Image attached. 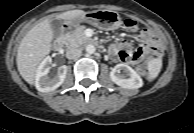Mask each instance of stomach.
Listing matches in <instances>:
<instances>
[{"label": "stomach", "mask_w": 194, "mask_h": 133, "mask_svg": "<svg viewBox=\"0 0 194 133\" xmlns=\"http://www.w3.org/2000/svg\"><path fill=\"white\" fill-rule=\"evenodd\" d=\"M83 22L89 23L99 29L115 30L120 27L121 18L115 11L95 10L86 12L78 18H74L68 21L72 27H76Z\"/></svg>", "instance_id": "1"}]
</instances>
